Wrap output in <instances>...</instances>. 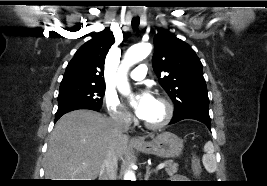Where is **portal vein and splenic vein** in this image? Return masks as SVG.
<instances>
[{
    "mask_svg": "<svg viewBox=\"0 0 267 186\" xmlns=\"http://www.w3.org/2000/svg\"><path fill=\"white\" fill-rule=\"evenodd\" d=\"M165 166H166L165 163H160V164L157 166V170L163 169Z\"/></svg>",
    "mask_w": 267,
    "mask_h": 186,
    "instance_id": "18ae733b",
    "label": "portal vein and splenic vein"
}]
</instances>
